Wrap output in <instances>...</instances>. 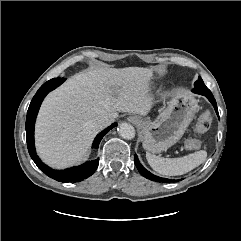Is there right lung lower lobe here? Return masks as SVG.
Segmentation results:
<instances>
[{
    "label": "right lung lower lobe",
    "instance_id": "obj_1",
    "mask_svg": "<svg viewBox=\"0 0 241 241\" xmlns=\"http://www.w3.org/2000/svg\"><path fill=\"white\" fill-rule=\"evenodd\" d=\"M52 88L53 87L45 89L43 91H37V93L33 97L32 101L30 103V106L28 108L26 124H25L28 151H29L31 158L37 165V167L41 171H43L46 175H48L49 177H51L57 181H60V182H66V183L67 182H79V181H82V180L88 178L95 172V170L97 169L98 164H99V158L96 160L87 161L80 166H76V167L62 171V170H53L52 168L48 167L36 155L35 146H34L35 120H36L37 113L39 111V108H40V105H41L43 99L48 94V92L52 91L51 90ZM116 125L117 124L114 123L111 126H109L108 128H106L104 131L99 133L96 136L92 147L97 149L99 147V143H100L101 139L103 138V136Z\"/></svg>",
    "mask_w": 241,
    "mask_h": 241
}]
</instances>
